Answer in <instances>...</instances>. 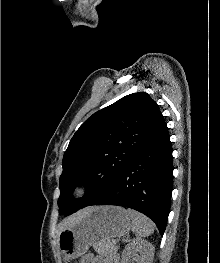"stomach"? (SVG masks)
I'll return each instance as SVG.
<instances>
[{
	"mask_svg": "<svg viewBox=\"0 0 220 263\" xmlns=\"http://www.w3.org/2000/svg\"><path fill=\"white\" fill-rule=\"evenodd\" d=\"M132 227L130 215L119 206L92 207L78 221L62 230L58 245L65 263L83 255L90 246L99 249L112 238L126 235Z\"/></svg>",
	"mask_w": 220,
	"mask_h": 263,
	"instance_id": "1",
	"label": "stomach"
}]
</instances>
